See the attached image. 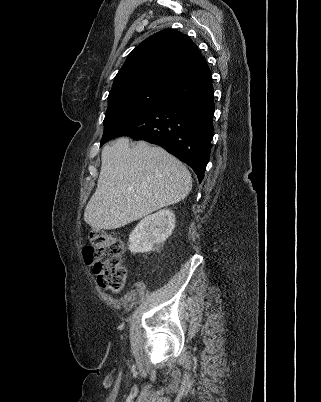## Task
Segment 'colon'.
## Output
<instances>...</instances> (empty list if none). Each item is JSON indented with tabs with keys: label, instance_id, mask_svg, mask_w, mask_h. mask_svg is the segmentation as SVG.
Segmentation results:
<instances>
[{
	"label": "colon",
	"instance_id": "colon-1",
	"mask_svg": "<svg viewBox=\"0 0 321 402\" xmlns=\"http://www.w3.org/2000/svg\"><path fill=\"white\" fill-rule=\"evenodd\" d=\"M123 250V242L115 234L97 228L90 231L83 257L93 265L98 283L105 290L120 291L124 286L127 268L121 260Z\"/></svg>",
	"mask_w": 321,
	"mask_h": 402
}]
</instances>
